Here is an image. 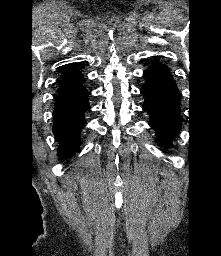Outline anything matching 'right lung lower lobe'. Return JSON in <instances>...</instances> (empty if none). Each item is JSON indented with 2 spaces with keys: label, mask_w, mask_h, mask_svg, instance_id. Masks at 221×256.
<instances>
[{
  "label": "right lung lower lobe",
  "mask_w": 221,
  "mask_h": 256,
  "mask_svg": "<svg viewBox=\"0 0 221 256\" xmlns=\"http://www.w3.org/2000/svg\"><path fill=\"white\" fill-rule=\"evenodd\" d=\"M87 91L56 100L53 132L59 142L58 156L69 158L80 146V132L86 121L84 114L90 109Z\"/></svg>",
  "instance_id": "obj_1"
}]
</instances>
